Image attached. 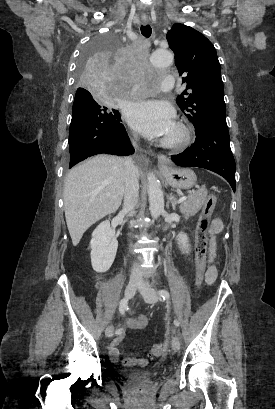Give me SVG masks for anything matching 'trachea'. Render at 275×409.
I'll return each mask as SVG.
<instances>
[{"label":"trachea","instance_id":"3493384b","mask_svg":"<svg viewBox=\"0 0 275 409\" xmlns=\"http://www.w3.org/2000/svg\"><path fill=\"white\" fill-rule=\"evenodd\" d=\"M141 33L146 38L150 37L152 33V29L150 25H141Z\"/></svg>","mask_w":275,"mask_h":409}]
</instances>
